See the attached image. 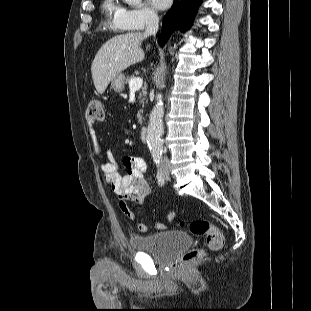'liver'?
I'll list each match as a JSON object with an SVG mask.
<instances>
[{"mask_svg": "<svg viewBox=\"0 0 311 311\" xmlns=\"http://www.w3.org/2000/svg\"><path fill=\"white\" fill-rule=\"evenodd\" d=\"M146 37L138 32L126 33L113 37L100 48L91 66L93 82L99 94L105 92L118 74L144 59L140 45Z\"/></svg>", "mask_w": 311, "mask_h": 311, "instance_id": "liver-1", "label": "liver"}]
</instances>
